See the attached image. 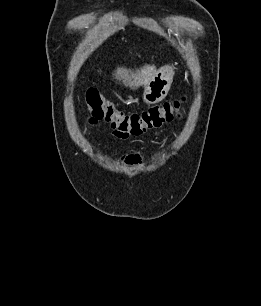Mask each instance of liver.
I'll return each instance as SVG.
<instances>
[{
	"label": "liver",
	"mask_w": 261,
	"mask_h": 306,
	"mask_svg": "<svg viewBox=\"0 0 261 306\" xmlns=\"http://www.w3.org/2000/svg\"><path fill=\"white\" fill-rule=\"evenodd\" d=\"M157 72L155 65H144L140 69L133 70L118 67L115 71V79L122 81L126 87L137 89L140 86L146 87L149 81Z\"/></svg>",
	"instance_id": "1"
}]
</instances>
